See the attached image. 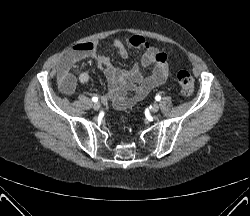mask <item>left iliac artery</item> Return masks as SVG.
Returning <instances> with one entry per match:
<instances>
[{"label":"left iliac artery","mask_w":250,"mask_h":216,"mask_svg":"<svg viewBox=\"0 0 250 216\" xmlns=\"http://www.w3.org/2000/svg\"><path fill=\"white\" fill-rule=\"evenodd\" d=\"M155 99H156V101H160L161 100V96L160 95H156Z\"/></svg>","instance_id":"left-iliac-artery-1"}]
</instances>
